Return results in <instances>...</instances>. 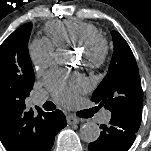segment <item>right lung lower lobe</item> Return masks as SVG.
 Returning <instances> with one entry per match:
<instances>
[{
  "instance_id": "1",
  "label": "right lung lower lobe",
  "mask_w": 151,
  "mask_h": 151,
  "mask_svg": "<svg viewBox=\"0 0 151 151\" xmlns=\"http://www.w3.org/2000/svg\"><path fill=\"white\" fill-rule=\"evenodd\" d=\"M66 126V118L62 111L46 113L47 145L44 151H50L55 135Z\"/></svg>"
}]
</instances>
